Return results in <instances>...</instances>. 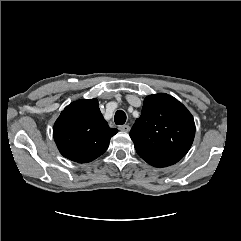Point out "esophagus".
<instances>
[{"label":"esophagus","instance_id":"esophagus-1","mask_svg":"<svg viewBox=\"0 0 241 241\" xmlns=\"http://www.w3.org/2000/svg\"><path fill=\"white\" fill-rule=\"evenodd\" d=\"M118 129H119L120 131H123V132H129L130 126L127 125V124H125V125H120V126L118 127Z\"/></svg>","mask_w":241,"mask_h":241}]
</instances>
